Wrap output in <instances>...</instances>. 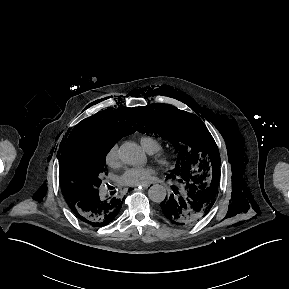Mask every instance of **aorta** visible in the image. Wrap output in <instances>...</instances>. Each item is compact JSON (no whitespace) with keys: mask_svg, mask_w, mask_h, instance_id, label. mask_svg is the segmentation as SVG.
<instances>
[{"mask_svg":"<svg viewBox=\"0 0 289 289\" xmlns=\"http://www.w3.org/2000/svg\"><path fill=\"white\" fill-rule=\"evenodd\" d=\"M119 157L125 164L132 166L144 165L147 161L145 152L139 145L133 142H125L119 149ZM148 197L155 203L164 201L166 197V189L160 184L151 186L148 190Z\"/></svg>","mask_w":289,"mask_h":289,"instance_id":"762f6f07","label":"aorta"}]
</instances>
